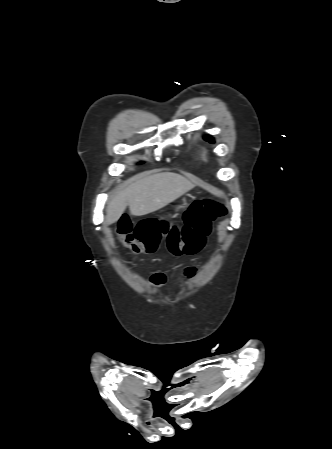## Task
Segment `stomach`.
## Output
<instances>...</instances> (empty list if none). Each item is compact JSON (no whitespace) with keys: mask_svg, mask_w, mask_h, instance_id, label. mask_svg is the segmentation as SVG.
I'll return each instance as SVG.
<instances>
[{"mask_svg":"<svg viewBox=\"0 0 332 449\" xmlns=\"http://www.w3.org/2000/svg\"><path fill=\"white\" fill-rule=\"evenodd\" d=\"M180 208H184V206H179L178 209H180Z\"/></svg>","mask_w":332,"mask_h":449,"instance_id":"stomach-1","label":"stomach"}]
</instances>
